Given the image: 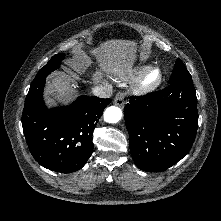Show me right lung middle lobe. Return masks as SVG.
Returning <instances> with one entry per match:
<instances>
[{
	"instance_id": "1",
	"label": "right lung middle lobe",
	"mask_w": 221,
	"mask_h": 221,
	"mask_svg": "<svg viewBox=\"0 0 221 221\" xmlns=\"http://www.w3.org/2000/svg\"><path fill=\"white\" fill-rule=\"evenodd\" d=\"M64 58V53L57 54L51 58V60L39 70L33 82H37L42 78H45L52 71L60 66V61Z\"/></svg>"
}]
</instances>
